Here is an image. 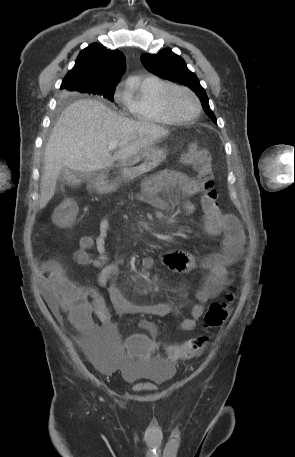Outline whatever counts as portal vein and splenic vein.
<instances>
[{
  "label": "portal vein and splenic vein",
  "mask_w": 295,
  "mask_h": 457,
  "mask_svg": "<svg viewBox=\"0 0 295 457\" xmlns=\"http://www.w3.org/2000/svg\"><path fill=\"white\" fill-rule=\"evenodd\" d=\"M118 145H119V143H117V142H110L108 148H109V150L115 149Z\"/></svg>",
  "instance_id": "portal-vein-and-splenic-vein-1"
}]
</instances>
